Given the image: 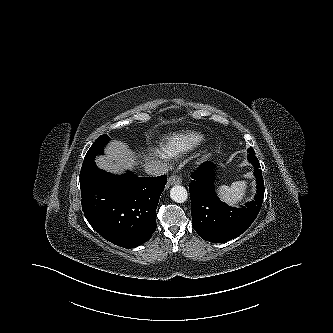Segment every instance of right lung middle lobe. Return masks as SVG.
Segmentation results:
<instances>
[{"mask_svg":"<svg viewBox=\"0 0 333 333\" xmlns=\"http://www.w3.org/2000/svg\"><path fill=\"white\" fill-rule=\"evenodd\" d=\"M109 140L110 139L106 134L101 135L100 137L97 138V140L90 147L84 158L80 175L91 172V170L95 166L94 163L95 156L98 154H103V148Z\"/></svg>","mask_w":333,"mask_h":333,"instance_id":"1","label":"right lung middle lobe"}]
</instances>
